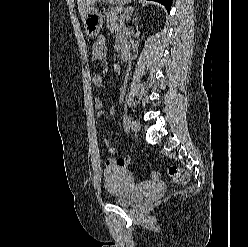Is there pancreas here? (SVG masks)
Wrapping results in <instances>:
<instances>
[{"label": "pancreas", "mask_w": 248, "mask_h": 247, "mask_svg": "<svg viewBox=\"0 0 248 247\" xmlns=\"http://www.w3.org/2000/svg\"><path fill=\"white\" fill-rule=\"evenodd\" d=\"M122 9H113L107 13V26L110 29H116L123 25L125 14H122ZM120 14V15H119Z\"/></svg>", "instance_id": "obj_1"}]
</instances>
